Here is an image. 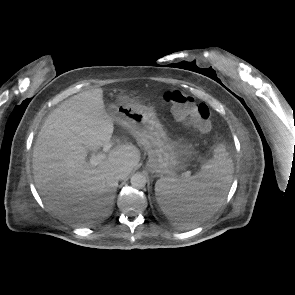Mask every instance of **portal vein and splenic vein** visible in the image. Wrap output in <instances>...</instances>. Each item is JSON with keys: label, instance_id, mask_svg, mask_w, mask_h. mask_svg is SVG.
<instances>
[{"label": "portal vein and splenic vein", "instance_id": "1", "mask_svg": "<svg viewBox=\"0 0 295 295\" xmlns=\"http://www.w3.org/2000/svg\"><path fill=\"white\" fill-rule=\"evenodd\" d=\"M112 147V143L108 142L106 144L103 145V152L102 153H99L97 155H93L91 158H90V163L92 165H98L99 163H101L107 156V153L110 151Z\"/></svg>", "mask_w": 295, "mask_h": 295}]
</instances>
